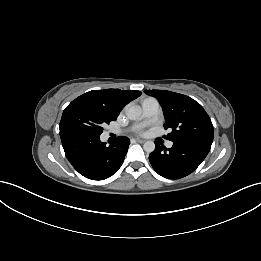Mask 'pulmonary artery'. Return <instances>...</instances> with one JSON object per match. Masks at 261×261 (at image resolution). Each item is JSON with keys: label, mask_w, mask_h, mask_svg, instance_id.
Listing matches in <instances>:
<instances>
[{"label": "pulmonary artery", "mask_w": 261, "mask_h": 261, "mask_svg": "<svg viewBox=\"0 0 261 261\" xmlns=\"http://www.w3.org/2000/svg\"><path fill=\"white\" fill-rule=\"evenodd\" d=\"M159 102L155 98H146L142 102V110H143V122L147 123L152 121L159 112ZM138 125H135L134 128H137ZM113 133H119L117 130H112ZM173 143L171 141L167 142L166 146L171 148Z\"/></svg>", "instance_id": "e3ab8cb5"}]
</instances>
